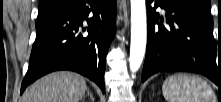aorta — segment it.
I'll return each instance as SVG.
<instances>
[{
	"label": "aorta",
	"mask_w": 221,
	"mask_h": 102,
	"mask_svg": "<svg viewBox=\"0 0 221 102\" xmlns=\"http://www.w3.org/2000/svg\"><path fill=\"white\" fill-rule=\"evenodd\" d=\"M147 41L145 0H131V45L129 66L136 72L143 61Z\"/></svg>",
	"instance_id": "aorta-1"
}]
</instances>
